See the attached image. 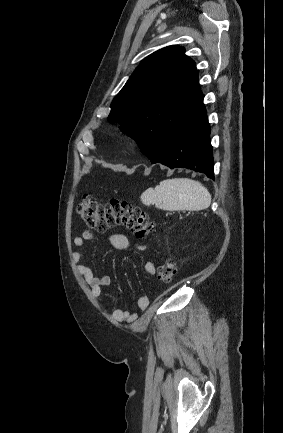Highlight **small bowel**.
<instances>
[{
    "label": "small bowel",
    "instance_id": "c3829d8e",
    "mask_svg": "<svg viewBox=\"0 0 283 433\" xmlns=\"http://www.w3.org/2000/svg\"><path fill=\"white\" fill-rule=\"evenodd\" d=\"M94 239V233L89 230H83L80 236L74 238V245L77 250L73 254V260L78 263L83 256V249L85 243ZM110 245L116 250H124L130 247L137 248L138 250H145L146 246L139 244L132 240L129 236L122 233L112 234L109 237ZM145 272L153 276L156 273V266L153 262H147L144 266ZM77 271L82 275L89 285L91 292L94 296L98 297L102 294L103 290L110 285L111 279L108 275H97L87 265L79 264ZM149 298L142 296L138 299L137 305L140 310H145L149 306ZM112 318L117 322L134 323L138 319L137 313H131L128 310L116 308L112 311Z\"/></svg>",
    "mask_w": 283,
    "mask_h": 433
}]
</instances>
